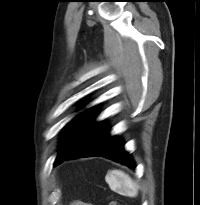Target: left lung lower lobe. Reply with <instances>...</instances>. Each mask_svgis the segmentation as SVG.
<instances>
[{"instance_id": "0a47b994", "label": "left lung lower lobe", "mask_w": 200, "mask_h": 205, "mask_svg": "<svg viewBox=\"0 0 200 205\" xmlns=\"http://www.w3.org/2000/svg\"><path fill=\"white\" fill-rule=\"evenodd\" d=\"M108 132L109 129L103 122L95 124L80 144L61 160V163L68 159L103 156L134 168L133 159L124 151L123 141L115 136H109Z\"/></svg>"}]
</instances>
